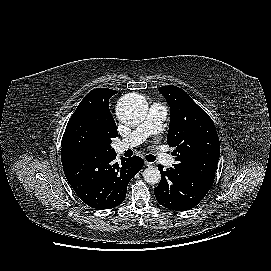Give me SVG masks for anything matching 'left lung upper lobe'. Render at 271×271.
Masks as SVG:
<instances>
[{"label": "left lung upper lobe", "instance_id": "obj_1", "mask_svg": "<svg viewBox=\"0 0 271 271\" xmlns=\"http://www.w3.org/2000/svg\"><path fill=\"white\" fill-rule=\"evenodd\" d=\"M159 91L170 107L167 143L176 148L177 163L173 166L212 186L220 156L213 121L181 88L168 85Z\"/></svg>", "mask_w": 271, "mask_h": 271}]
</instances>
